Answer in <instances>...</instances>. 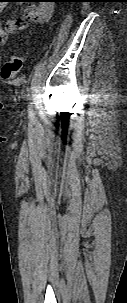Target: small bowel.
<instances>
[{"instance_id": "small-bowel-1", "label": "small bowel", "mask_w": 127, "mask_h": 303, "mask_svg": "<svg viewBox=\"0 0 127 303\" xmlns=\"http://www.w3.org/2000/svg\"><path fill=\"white\" fill-rule=\"evenodd\" d=\"M50 0H39L32 2L28 5V8L23 17L20 19L9 20L3 27L0 23V44H4L9 36L23 30L26 27V22H46L51 18L53 7L49 4ZM1 12V7H0Z\"/></svg>"}]
</instances>
